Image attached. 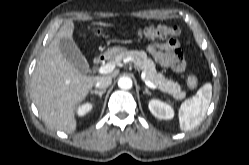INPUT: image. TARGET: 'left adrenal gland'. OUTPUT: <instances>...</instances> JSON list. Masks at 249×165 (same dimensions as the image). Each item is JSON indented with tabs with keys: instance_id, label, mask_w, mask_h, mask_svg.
Masks as SVG:
<instances>
[{
	"instance_id": "obj_1",
	"label": "left adrenal gland",
	"mask_w": 249,
	"mask_h": 165,
	"mask_svg": "<svg viewBox=\"0 0 249 165\" xmlns=\"http://www.w3.org/2000/svg\"><path fill=\"white\" fill-rule=\"evenodd\" d=\"M144 94H151V92L148 90V88L145 87V91H144Z\"/></svg>"
}]
</instances>
